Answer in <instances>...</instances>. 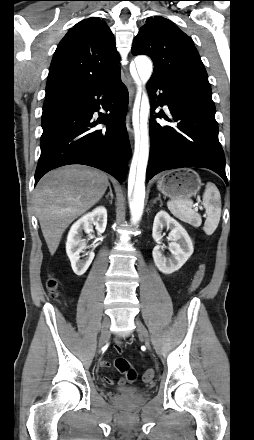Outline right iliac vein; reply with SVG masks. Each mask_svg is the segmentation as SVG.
Here are the masks:
<instances>
[{"label": "right iliac vein", "instance_id": "1", "mask_svg": "<svg viewBox=\"0 0 254 440\" xmlns=\"http://www.w3.org/2000/svg\"><path fill=\"white\" fill-rule=\"evenodd\" d=\"M109 328H110V319L106 317L102 323L99 348H102L103 345L109 340V336H110Z\"/></svg>", "mask_w": 254, "mask_h": 440}]
</instances>
